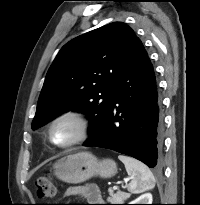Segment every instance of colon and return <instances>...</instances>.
Segmentation results:
<instances>
[{"instance_id": "colon-1", "label": "colon", "mask_w": 200, "mask_h": 205, "mask_svg": "<svg viewBox=\"0 0 200 205\" xmlns=\"http://www.w3.org/2000/svg\"><path fill=\"white\" fill-rule=\"evenodd\" d=\"M37 195L40 199H51L56 195L57 186L49 176H43L36 181Z\"/></svg>"}]
</instances>
